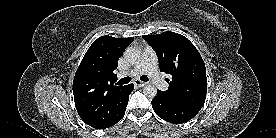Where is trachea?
Segmentation results:
<instances>
[{"mask_svg":"<svg viewBox=\"0 0 276 138\" xmlns=\"http://www.w3.org/2000/svg\"><path fill=\"white\" fill-rule=\"evenodd\" d=\"M140 80H141V81H144V82H147L149 79H148V77H147L146 75H142V76L140 77ZM130 81H131V77H124V78L120 79V80L117 82V84H118V85H123V84L129 83Z\"/></svg>","mask_w":276,"mask_h":138,"instance_id":"1","label":"trachea"}]
</instances>
